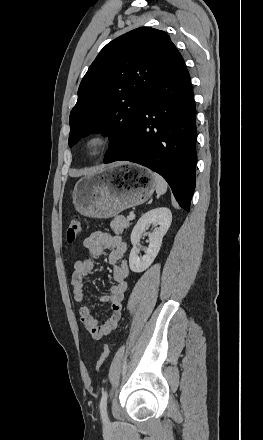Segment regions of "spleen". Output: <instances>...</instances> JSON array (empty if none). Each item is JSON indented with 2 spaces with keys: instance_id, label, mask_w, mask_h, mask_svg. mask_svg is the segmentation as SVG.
Masks as SVG:
<instances>
[{
  "instance_id": "spleen-1",
  "label": "spleen",
  "mask_w": 263,
  "mask_h": 440,
  "mask_svg": "<svg viewBox=\"0 0 263 440\" xmlns=\"http://www.w3.org/2000/svg\"><path fill=\"white\" fill-rule=\"evenodd\" d=\"M153 177L156 183V193L157 195H162L164 193H166L167 191V182L165 181V179L157 174V173H153Z\"/></svg>"
}]
</instances>
